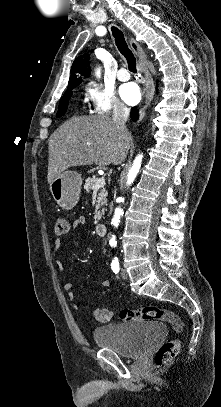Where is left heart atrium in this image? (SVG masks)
Returning a JSON list of instances; mask_svg holds the SVG:
<instances>
[{
	"instance_id": "39dd6f15",
	"label": "left heart atrium",
	"mask_w": 221,
	"mask_h": 407,
	"mask_svg": "<svg viewBox=\"0 0 221 407\" xmlns=\"http://www.w3.org/2000/svg\"><path fill=\"white\" fill-rule=\"evenodd\" d=\"M120 95L122 99L130 105L138 103L141 97V93L138 86L132 82L126 83L121 86Z\"/></svg>"
}]
</instances>
